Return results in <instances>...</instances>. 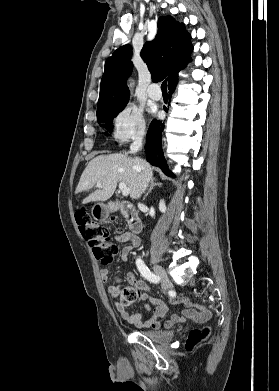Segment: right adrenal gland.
Masks as SVG:
<instances>
[{"label":"right adrenal gland","mask_w":279,"mask_h":391,"mask_svg":"<svg viewBox=\"0 0 279 391\" xmlns=\"http://www.w3.org/2000/svg\"><path fill=\"white\" fill-rule=\"evenodd\" d=\"M161 185H162V183L156 182L155 179L151 180V182H150V187H149L147 193L144 195L143 200H145V198L152 192V190H153V188H154L155 186H161Z\"/></svg>","instance_id":"2a0ac1e0"}]
</instances>
